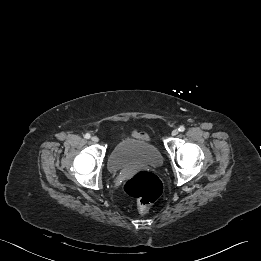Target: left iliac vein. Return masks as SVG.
Here are the masks:
<instances>
[{
  "label": "left iliac vein",
  "mask_w": 261,
  "mask_h": 261,
  "mask_svg": "<svg viewBox=\"0 0 261 261\" xmlns=\"http://www.w3.org/2000/svg\"><path fill=\"white\" fill-rule=\"evenodd\" d=\"M171 134H172V136H176L178 134V130L174 129Z\"/></svg>",
  "instance_id": "left-iliac-vein-1"
}]
</instances>
